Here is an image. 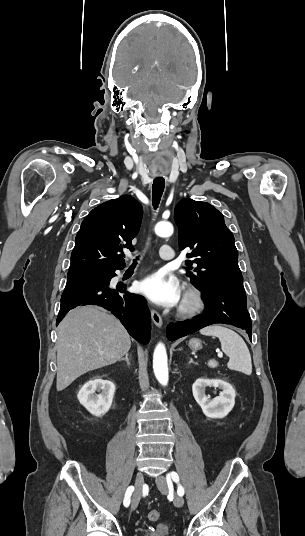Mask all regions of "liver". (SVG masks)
I'll use <instances>...</instances> for the list:
<instances>
[{
  "mask_svg": "<svg viewBox=\"0 0 305 536\" xmlns=\"http://www.w3.org/2000/svg\"><path fill=\"white\" fill-rule=\"evenodd\" d=\"M130 348L127 330L107 310L75 308L58 326L57 392L90 370L115 364Z\"/></svg>",
  "mask_w": 305,
  "mask_h": 536,
  "instance_id": "obj_1",
  "label": "liver"
}]
</instances>
